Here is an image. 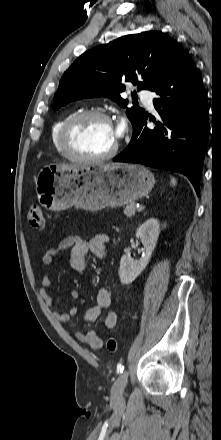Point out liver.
<instances>
[{
    "label": "liver",
    "instance_id": "6515ba94",
    "mask_svg": "<svg viewBox=\"0 0 221 440\" xmlns=\"http://www.w3.org/2000/svg\"><path fill=\"white\" fill-rule=\"evenodd\" d=\"M59 166L75 167V166H77V165H59Z\"/></svg>",
    "mask_w": 221,
    "mask_h": 440
}]
</instances>
